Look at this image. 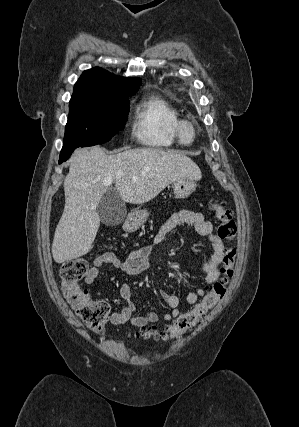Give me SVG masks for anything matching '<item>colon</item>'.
Segmentation results:
<instances>
[{
  "mask_svg": "<svg viewBox=\"0 0 299 427\" xmlns=\"http://www.w3.org/2000/svg\"><path fill=\"white\" fill-rule=\"evenodd\" d=\"M217 220L219 221L218 236L229 244H233L237 237V225L232 218L230 209L216 199L211 204ZM237 249L229 246L225 250L222 261V276L210 288L204 298L190 311L181 314L173 323L159 330L156 327H144L138 335L143 338H152L166 341L178 338L200 325L210 310L222 299L227 291L230 279L234 275V265ZM89 271L87 259L79 257L65 261L60 269V280L63 296L91 331H103L110 312V305L102 300H92L80 282Z\"/></svg>",
  "mask_w": 299,
  "mask_h": 427,
  "instance_id": "colon-1",
  "label": "colon"
}]
</instances>
